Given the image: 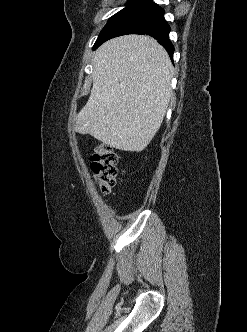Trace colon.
Listing matches in <instances>:
<instances>
[{"mask_svg":"<svg viewBox=\"0 0 247 332\" xmlns=\"http://www.w3.org/2000/svg\"><path fill=\"white\" fill-rule=\"evenodd\" d=\"M91 170L103 193H110L118 175V157L107 144H98L91 156Z\"/></svg>","mask_w":247,"mask_h":332,"instance_id":"5ec220e1","label":"colon"}]
</instances>
